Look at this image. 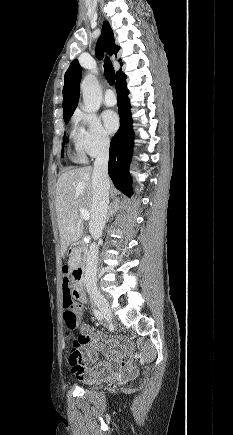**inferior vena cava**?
I'll use <instances>...</instances> for the list:
<instances>
[{
	"instance_id": "1",
	"label": "inferior vena cava",
	"mask_w": 233,
	"mask_h": 435,
	"mask_svg": "<svg viewBox=\"0 0 233 435\" xmlns=\"http://www.w3.org/2000/svg\"><path fill=\"white\" fill-rule=\"evenodd\" d=\"M109 140L104 141L94 162L93 198L89 230L93 236L101 235L107 220L110 182L108 176ZM98 247L92 243L87 254L85 286L87 289L97 287Z\"/></svg>"
}]
</instances>
